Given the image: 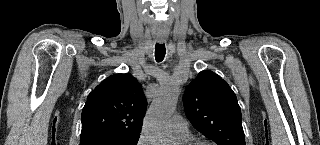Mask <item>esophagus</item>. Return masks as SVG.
<instances>
[{
	"label": "esophagus",
	"mask_w": 320,
	"mask_h": 145,
	"mask_svg": "<svg viewBox=\"0 0 320 145\" xmlns=\"http://www.w3.org/2000/svg\"><path fill=\"white\" fill-rule=\"evenodd\" d=\"M159 41H160V42H163V41H164V39H163V38H159Z\"/></svg>",
	"instance_id": "obj_1"
}]
</instances>
